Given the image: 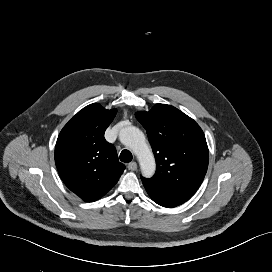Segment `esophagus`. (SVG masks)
Instances as JSON below:
<instances>
[{
	"label": "esophagus",
	"instance_id": "34e87169",
	"mask_svg": "<svg viewBox=\"0 0 272 272\" xmlns=\"http://www.w3.org/2000/svg\"><path fill=\"white\" fill-rule=\"evenodd\" d=\"M128 169L131 171H135L137 169V163L136 162H131L128 164Z\"/></svg>",
	"mask_w": 272,
	"mask_h": 272
}]
</instances>
